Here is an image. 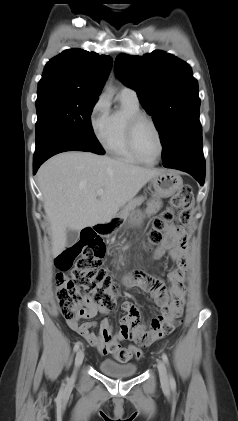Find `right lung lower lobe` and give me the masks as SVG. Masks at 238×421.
<instances>
[{
	"label": "right lung lower lobe",
	"instance_id": "98d812e1",
	"mask_svg": "<svg viewBox=\"0 0 238 421\" xmlns=\"http://www.w3.org/2000/svg\"><path fill=\"white\" fill-rule=\"evenodd\" d=\"M65 151H90L68 135L57 131H48L41 140L36 143L33 159V171L37 172L40 165L51 156Z\"/></svg>",
	"mask_w": 238,
	"mask_h": 421
}]
</instances>
